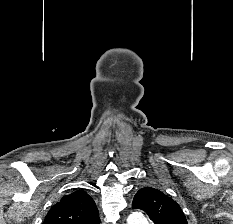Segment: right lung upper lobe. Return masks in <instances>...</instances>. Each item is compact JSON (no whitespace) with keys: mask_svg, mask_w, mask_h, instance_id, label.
<instances>
[{"mask_svg":"<svg viewBox=\"0 0 233 224\" xmlns=\"http://www.w3.org/2000/svg\"><path fill=\"white\" fill-rule=\"evenodd\" d=\"M43 224H100L94 200L83 190L63 196L47 213Z\"/></svg>","mask_w":233,"mask_h":224,"instance_id":"cb5924a9","label":"right lung upper lobe"}]
</instances>
